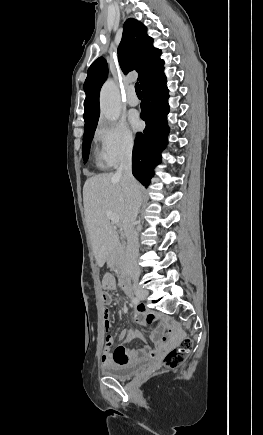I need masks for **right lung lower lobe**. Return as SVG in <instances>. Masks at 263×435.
I'll use <instances>...</instances> for the list:
<instances>
[{"label":"right lung lower lobe","instance_id":"98d812e1","mask_svg":"<svg viewBox=\"0 0 263 435\" xmlns=\"http://www.w3.org/2000/svg\"><path fill=\"white\" fill-rule=\"evenodd\" d=\"M140 117L146 122L142 133H137L132 154V173L144 186L150 184L153 168L161 161V151L167 144L168 89L164 69L143 86Z\"/></svg>","mask_w":263,"mask_h":435}]
</instances>
